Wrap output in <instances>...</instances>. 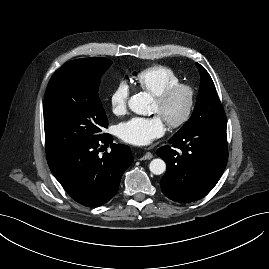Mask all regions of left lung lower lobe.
<instances>
[{
  "label": "left lung lower lobe",
  "instance_id": "left-lung-lower-lobe-1",
  "mask_svg": "<svg viewBox=\"0 0 269 269\" xmlns=\"http://www.w3.org/2000/svg\"><path fill=\"white\" fill-rule=\"evenodd\" d=\"M169 143L171 146L157 150L167 164L160 181L163 194L181 203L203 198L217 184L227 164L226 124L192 127L174 135Z\"/></svg>",
  "mask_w": 269,
  "mask_h": 269
}]
</instances>
